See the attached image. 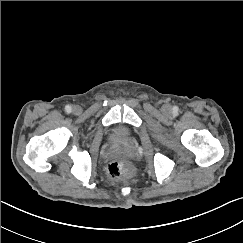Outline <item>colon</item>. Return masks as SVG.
Here are the masks:
<instances>
[{
  "mask_svg": "<svg viewBox=\"0 0 243 243\" xmlns=\"http://www.w3.org/2000/svg\"><path fill=\"white\" fill-rule=\"evenodd\" d=\"M107 172L113 179H127L133 175L134 169L128 161L117 159L108 164Z\"/></svg>",
  "mask_w": 243,
  "mask_h": 243,
  "instance_id": "1",
  "label": "colon"
}]
</instances>
